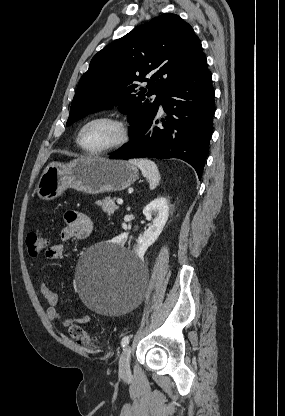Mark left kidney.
<instances>
[{
    "label": "left kidney",
    "mask_w": 285,
    "mask_h": 416,
    "mask_svg": "<svg viewBox=\"0 0 285 416\" xmlns=\"http://www.w3.org/2000/svg\"><path fill=\"white\" fill-rule=\"evenodd\" d=\"M144 216H146V220L152 222L151 226H149L148 230H145L142 236L137 238L136 246H134V252L143 256L146 250H148L149 246L154 244L155 240H157L158 236H160L169 216V206L167 204L166 198H156L153 202H150L146 208L143 210ZM152 216H155L154 220ZM127 238H123V242H126Z\"/></svg>",
    "instance_id": "obj_1"
}]
</instances>
